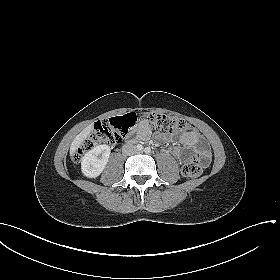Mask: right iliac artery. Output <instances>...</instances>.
<instances>
[{
    "label": "right iliac artery",
    "instance_id": "82829eb1",
    "mask_svg": "<svg viewBox=\"0 0 280 280\" xmlns=\"http://www.w3.org/2000/svg\"><path fill=\"white\" fill-rule=\"evenodd\" d=\"M137 149H138V150H143V146L140 145V144H138V145H137Z\"/></svg>",
    "mask_w": 280,
    "mask_h": 280
}]
</instances>
